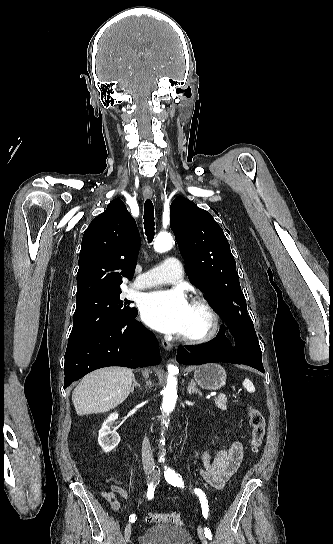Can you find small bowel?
Segmentation results:
<instances>
[{
	"label": "small bowel",
	"mask_w": 333,
	"mask_h": 544,
	"mask_svg": "<svg viewBox=\"0 0 333 544\" xmlns=\"http://www.w3.org/2000/svg\"><path fill=\"white\" fill-rule=\"evenodd\" d=\"M243 457V448L240 442L235 441L230 446L221 448L211 455L208 452L202 454L203 479L215 490L222 489L225 483L238 469ZM103 498L114 511H120L121 506L117 496L131 499L132 494L118 485H113L107 491L102 492Z\"/></svg>",
	"instance_id": "obj_1"
}]
</instances>
